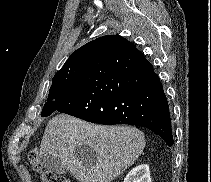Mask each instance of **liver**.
Segmentation results:
<instances>
[{
    "label": "liver",
    "instance_id": "obj_1",
    "mask_svg": "<svg viewBox=\"0 0 211 182\" xmlns=\"http://www.w3.org/2000/svg\"><path fill=\"white\" fill-rule=\"evenodd\" d=\"M145 145L144 133L135 127L92 125L60 114L46 126L40 156L60 159L79 182H111L136 161ZM82 146L95 153V160L78 156Z\"/></svg>",
    "mask_w": 211,
    "mask_h": 182
}]
</instances>
